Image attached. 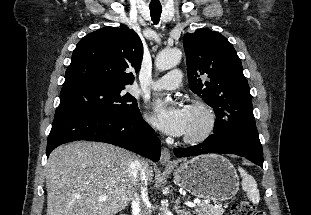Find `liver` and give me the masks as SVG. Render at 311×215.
Segmentation results:
<instances>
[{
  "instance_id": "obj_1",
  "label": "liver",
  "mask_w": 311,
  "mask_h": 215,
  "mask_svg": "<svg viewBox=\"0 0 311 215\" xmlns=\"http://www.w3.org/2000/svg\"><path fill=\"white\" fill-rule=\"evenodd\" d=\"M135 156L121 148L77 141L59 146L46 164L47 215H114L135 193L130 164ZM147 184L153 170L142 160ZM107 196L99 201L100 196Z\"/></svg>"
}]
</instances>
